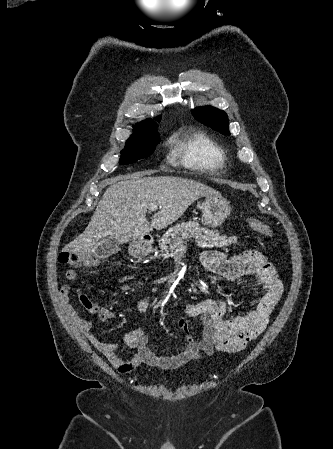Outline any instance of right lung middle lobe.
<instances>
[{
	"mask_svg": "<svg viewBox=\"0 0 333 449\" xmlns=\"http://www.w3.org/2000/svg\"><path fill=\"white\" fill-rule=\"evenodd\" d=\"M156 127V123L151 120L140 129V132L145 135L144 138L126 142L120 164H130L152 154L159 142ZM136 133H139L138 130Z\"/></svg>",
	"mask_w": 333,
	"mask_h": 449,
	"instance_id": "obj_1",
	"label": "right lung middle lobe"
}]
</instances>
